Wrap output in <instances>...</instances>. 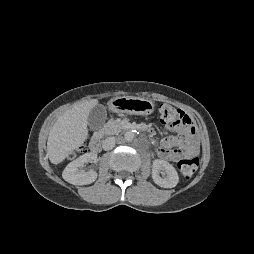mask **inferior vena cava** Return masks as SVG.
<instances>
[{
	"mask_svg": "<svg viewBox=\"0 0 254 254\" xmlns=\"http://www.w3.org/2000/svg\"><path fill=\"white\" fill-rule=\"evenodd\" d=\"M115 147V139L113 137H108L102 141V148L107 151Z\"/></svg>",
	"mask_w": 254,
	"mask_h": 254,
	"instance_id": "602c4592",
	"label": "inferior vena cava"
}]
</instances>
